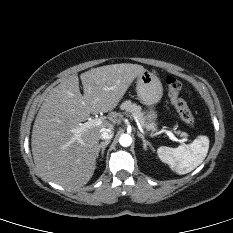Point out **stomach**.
<instances>
[{"instance_id":"1","label":"stomach","mask_w":233,"mask_h":233,"mask_svg":"<svg viewBox=\"0 0 233 233\" xmlns=\"http://www.w3.org/2000/svg\"><path fill=\"white\" fill-rule=\"evenodd\" d=\"M136 90L141 102L149 107V111L145 117L146 120L149 123H154L157 118L154 106L163 96V86L160 79L154 73L145 70L137 77Z\"/></svg>"}]
</instances>
